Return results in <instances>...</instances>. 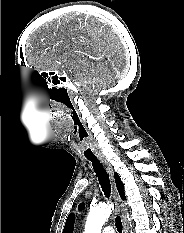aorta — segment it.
<instances>
[{
	"mask_svg": "<svg viewBox=\"0 0 184 233\" xmlns=\"http://www.w3.org/2000/svg\"><path fill=\"white\" fill-rule=\"evenodd\" d=\"M111 204H101L90 210L85 224L84 233H101L102 226L112 213Z\"/></svg>",
	"mask_w": 184,
	"mask_h": 233,
	"instance_id": "762f6f07",
	"label": "aorta"
}]
</instances>
